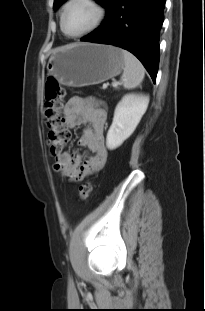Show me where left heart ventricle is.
<instances>
[{"label": "left heart ventricle", "mask_w": 205, "mask_h": 311, "mask_svg": "<svg viewBox=\"0 0 205 311\" xmlns=\"http://www.w3.org/2000/svg\"><path fill=\"white\" fill-rule=\"evenodd\" d=\"M96 18L95 9L85 2L72 3L65 16L64 26L69 34H78L92 25Z\"/></svg>", "instance_id": "left-heart-ventricle-1"}]
</instances>
